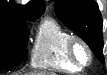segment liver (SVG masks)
<instances>
[{
  "label": "liver",
  "instance_id": "1",
  "mask_svg": "<svg viewBox=\"0 0 107 75\" xmlns=\"http://www.w3.org/2000/svg\"><path fill=\"white\" fill-rule=\"evenodd\" d=\"M16 75H21V74L18 73ZM25 75H49V74H46L45 72H31V73H28ZM52 75H54V74H52Z\"/></svg>",
  "mask_w": 107,
  "mask_h": 75
}]
</instances>
